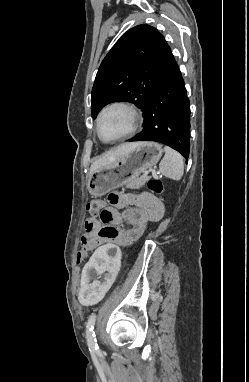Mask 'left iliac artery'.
I'll use <instances>...</instances> for the list:
<instances>
[{"instance_id": "44dca946", "label": "left iliac artery", "mask_w": 249, "mask_h": 382, "mask_svg": "<svg viewBox=\"0 0 249 382\" xmlns=\"http://www.w3.org/2000/svg\"><path fill=\"white\" fill-rule=\"evenodd\" d=\"M95 321H96V315L92 314L89 317L87 325H86V338H87V344L90 351L99 349L95 332H94Z\"/></svg>"}]
</instances>
